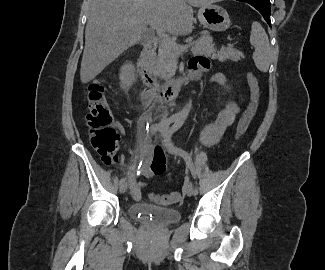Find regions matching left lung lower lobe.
<instances>
[{"mask_svg": "<svg viewBox=\"0 0 325 270\" xmlns=\"http://www.w3.org/2000/svg\"><path fill=\"white\" fill-rule=\"evenodd\" d=\"M241 2H246L256 8L264 17L266 22L271 25L270 21V13H271V5L270 0H238Z\"/></svg>", "mask_w": 325, "mask_h": 270, "instance_id": "obj_1", "label": "left lung lower lobe"}]
</instances>
